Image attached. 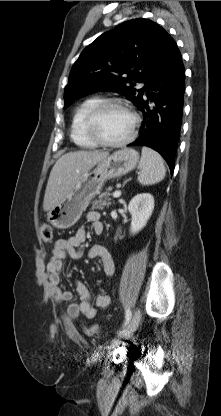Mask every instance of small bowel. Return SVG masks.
Listing matches in <instances>:
<instances>
[{
    "label": "small bowel",
    "instance_id": "1",
    "mask_svg": "<svg viewBox=\"0 0 221 416\" xmlns=\"http://www.w3.org/2000/svg\"><path fill=\"white\" fill-rule=\"evenodd\" d=\"M86 221L92 226L95 234L103 232L104 226L97 211H89L86 214ZM85 240L86 229L82 227L70 238L57 240L51 249V255L44 268V275L48 281L50 292L58 303L68 302L73 298L72 293L63 284L61 277L62 268L67 256L72 258L81 257ZM89 257L98 259L101 262L106 276L114 274V260L104 246H93L89 251ZM74 285L80 296V302H71L68 305L67 314L71 319L77 320L81 315L87 319H93L96 317L98 309H105L109 306L110 297L107 294H98L92 299L89 290L83 282L75 280Z\"/></svg>",
    "mask_w": 221,
    "mask_h": 416
}]
</instances>
